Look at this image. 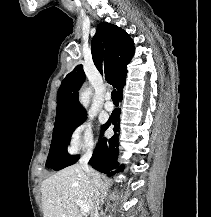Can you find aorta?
<instances>
[{
	"mask_svg": "<svg viewBox=\"0 0 211 217\" xmlns=\"http://www.w3.org/2000/svg\"><path fill=\"white\" fill-rule=\"evenodd\" d=\"M91 89L85 88L80 94V101L83 106L87 107L90 101Z\"/></svg>",
	"mask_w": 211,
	"mask_h": 217,
	"instance_id": "762f6f07",
	"label": "aorta"
}]
</instances>
